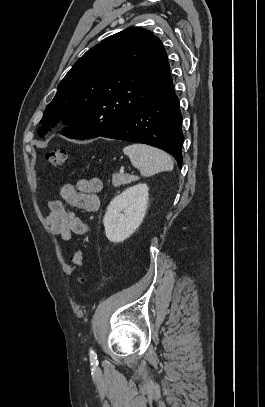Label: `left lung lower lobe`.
Here are the masks:
<instances>
[{
	"mask_svg": "<svg viewBox=\"0 0 265 407\" xmlns=\"http://www.w3.org/2000/svg\"><path fill=\"white\" fill-rule=\"evenodd\" d=\"M182 115L172 82L102 137L139 142L169 152L182 166Z\"/></svg>",
	"mask_w": 265,
	"mask_h": 407,
	"instance_id": "0a47b994",
	"label": "left lung lower lobe"
}]
</instances>
